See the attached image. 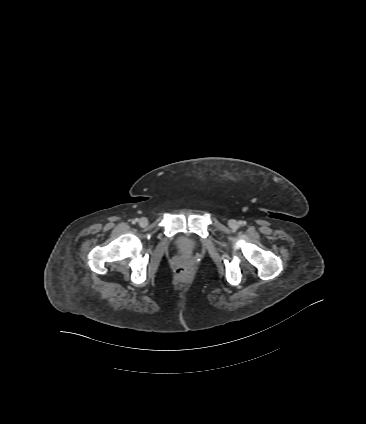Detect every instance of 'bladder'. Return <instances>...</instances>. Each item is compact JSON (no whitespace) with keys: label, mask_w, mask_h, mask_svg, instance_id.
Returning <instances> with one entry per match:
<instances>
[{"label":"bladder","mask_w":366,"mask_h":424,"mask_svg":"<svg viewBox=\"0 0 366 424\" xmlns=\"http://www.w3.org/2000/svg\"><path fill=\"white\" fill-rule=\"evenodd\" d=\"M177 246L182 251H193L196 247V243L189 237L180 236L177 239Z\"/></svg>","instance_id":"1"}]
</instances>
